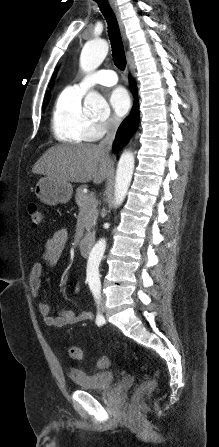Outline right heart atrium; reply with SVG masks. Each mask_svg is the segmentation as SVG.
Segmentation results:
<instances>
[{
  "mask_svg": "<svg viewBox=\"0 0 219 447\" xmlns=\"http://www.w3.org/2000/svg\"><path fill=\"white\" fill-rule=\"evenodd\" d=\"M117 125L118 122L115 119H107L105 121L97 123V130L100 134V137L112 132L117 127Z\"/></svg>",
  "mask_w": 219,
  "mask_h": 447,
  "instance_id": "right-heart-atrium-1",
  "label": "right heart atrium"
}]
</instances>
